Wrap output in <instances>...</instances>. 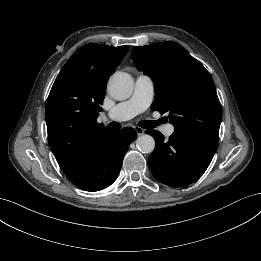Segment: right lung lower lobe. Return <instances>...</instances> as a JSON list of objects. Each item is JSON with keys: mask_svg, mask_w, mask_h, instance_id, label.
<instances>
[{"mask_svg": "<svg viewBox=\"0 0 261 261\" xmlns=\"http://www.w3.org/2000/svg\"><path fill=\"white\" fill-rule=\"evenodd\" d=\"M136 137V131L130 127L109 131L100 139L86 163L67 177L86 191H99L110 186L116 180L124 155Z\"/></svg>", "mask_w": 261, "mask_h": 261, "instance_id": "98d812e1", "label": "right lung lower lobe"}]
</instances>
